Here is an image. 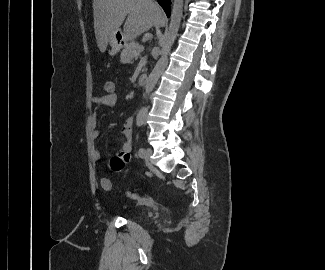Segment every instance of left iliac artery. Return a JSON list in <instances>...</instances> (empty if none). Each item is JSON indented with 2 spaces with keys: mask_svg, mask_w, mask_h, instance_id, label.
I'll return each instance as SVG.
<instances>
[{
  "mask_svg": "<svg viewBox=\"0 0 325 270\" xmlns=\"http://www.w3.org/2000/svg\"><path fill=\"white\" fill-rule=\"evenodd\" d=\"M144 152H145V149L144 148H140L139 151H138L139 156L142 157L143 154H144Z\"/></svg>",
  "mask_w": 325,
  "mask_h": 270,
  "instance_id": "obj_1",
  "label": "left iliac artery"
}]
</instances>
